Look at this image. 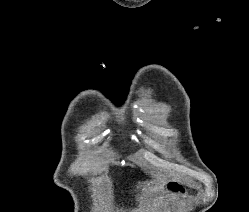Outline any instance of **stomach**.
I'll return each mask as SVG.
<instances>
[{
	"label": "stomach",
	"mask_w": 249,
	"mask_h": 212,
	"mask_svg": "<svg viewBox=\"0 0 249 212\" xmlns=\"http://www.w3.org/2000/svg\"><path fill=\"white\" fill-rule=\"evenodd\" d=\"M162 192H165L168 198H174V196H178V194H182V188L180 184L174 182V180H169V182H164L161 188Z\"/></svg>",
	"instance_id": "0dacf381"
}]
</instances>
